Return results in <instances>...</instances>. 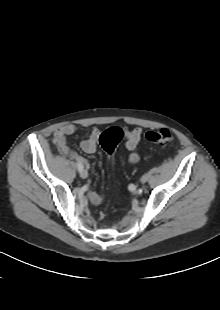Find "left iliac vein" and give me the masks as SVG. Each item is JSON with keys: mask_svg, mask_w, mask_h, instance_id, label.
Listing matches in <instances>:
<instances>
[{"mask_svg": "<svg viewBox=\"0 0 220 310\" xmlns=\"http://www.w3.org/2000/svg\"><path fill=\"white\" fill-rule=\"evenodd\" d=\"M141 181H142L143 183H145V182L147 181V176H143V177L141 178Z\"/></svg>", "mask_w": 220, "mask_h": 310, "instance_id": "obj_1", "label": "left iliac vein"}]
</instances>
